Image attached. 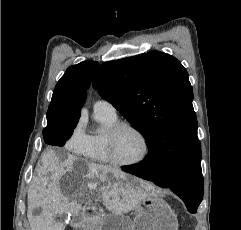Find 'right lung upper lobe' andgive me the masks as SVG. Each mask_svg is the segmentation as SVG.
Here are the masks:
<instances>
[{
  "instance_id": "right-lung-upper-lobe-1",
  "label": "right lung upper lobe",
  "mask_w": 241,
  "mask_h": 230,
  "mask_svg": "<svg viewBox=\"0 0 241 230\" xmlns=\"http://www.w3.org/2000/svg\"><path fill=\"white\" fill-rule=\"evenodd\" d=\"M98 66V62L83 61L66 70L53 91L47 122L79 121L87 89Z\"/></svg>"
}]
</instances>
